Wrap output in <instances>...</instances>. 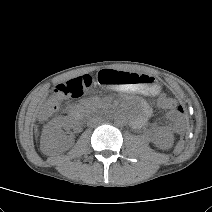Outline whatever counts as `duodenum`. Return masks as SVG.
<instances>
[{
    "mask_svg": "<svg viewBox=\"0 0 212 212\" xmlns=\"http://www.w3.org/2000/svg\"><path fill=\"white\" fill-rule=\"evenodd\" d=\"M70 116L75 120H80L83 117V109L81 107H73L70 111ZM135 125H140L142 123V118L138 117L133 120Z\"/></svg>",
    "mask_w": 212,
    "mask_h": 212,
    "instance_id": "1",
    "label": "duodenum"
}]
</instances>
